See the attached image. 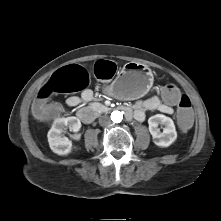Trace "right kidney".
I'll use <instances>...</instances> for the list:
<instances>
[{
  "label": "right kidney",
  "instance_id": "1",
  "mask_svg": "<svg viewBox=\"0 0 221 221\" xmlns=\"http://www.w3.org/2000/svg\"><path fill=\"white\" fill-rule=\"evenodd\" d=\"M78 132L81 128V122L77 117L57 118L54 120L51 129L48 132V142L51 150L58 155H67L72 151V142L62 133L65 129Z\"/></svg>",
  "mask_w": 221,
  "mask_h": 221
}]
</instances>
